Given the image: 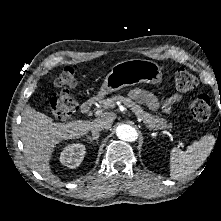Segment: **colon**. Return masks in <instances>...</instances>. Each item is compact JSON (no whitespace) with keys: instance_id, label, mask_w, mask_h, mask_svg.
Returning <instances> with one entry per match:
<instances>
[{"instance_id":"1","label":"colon","mask_w":221,"mask_h":221,"mask_svg":"<svg viewBox=\"0 0 221 221\" xmlns=\"http://www.w3.org/2000/svg\"><path fill=\"white\" fill-rule=\"evenodd\" d=\"M78 83L76 70L72 66H66L54 80L57 91L50 98L52 113L57 120L65 121L76 110L77 103L69 93ZM174 83L179 91L187 92L197 86V79L184 69H179L174 74ZM189 111L198 121L208 119L211 112V101L206 95H200L188 104Z\"/></svg>"}]
</instances>
